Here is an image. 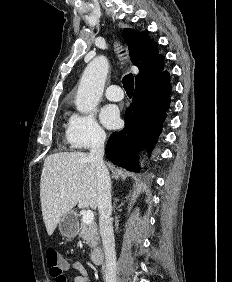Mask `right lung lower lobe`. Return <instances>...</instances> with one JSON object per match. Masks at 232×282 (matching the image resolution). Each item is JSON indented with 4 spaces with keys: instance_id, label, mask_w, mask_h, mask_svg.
Listing matches in <instances>:
<instances>
[{
    "instance_id": "right-lung-lower-lobe-1",
    "label": "right lung lower lobe",
    "mask_w": 232,
    "mask_h": 282,
    "mask_svg": "<svg viewBox=\"0 0 232 282\" xmlns=\"http://www.w3.org/2000/svg\"><path fill=\"white\" fill-rule=\"evenodd\" d=\"M170 76L167 70L136 80L133 101L125 112V127L114 132L106 146V156L115 165L139 172L138 152L152 149L161 134L170 104Z\"/></svg>"
}]
</instances>
